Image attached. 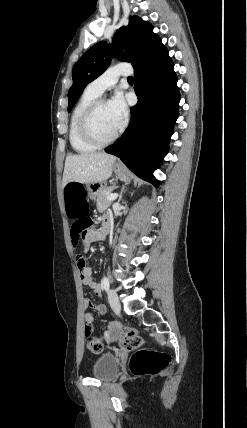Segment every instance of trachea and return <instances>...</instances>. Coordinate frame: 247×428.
<instances>
[{
	"instance_id": "1",
	"label": "trachea",
	"mask_w": 247,
	"mask_h": 428,
	"mask_svg": "<svg viewBox=\"0 0 247 428\" xmlns=\"http://www.w3.org/2000/svg\"><path fill=\"white\" fill-rule=\"evenodd\" d=\"M128 81H133V77L129 76Z\"/></svg>"
}]
</instances>
